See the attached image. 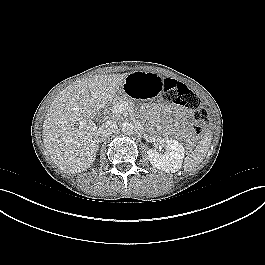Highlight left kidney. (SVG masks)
Segmentation results:
<instances>
[{
	"mask_svg": "<svg viewBox=\"0 0 265 265\" xmlns=\"http://www.w3.org/2000/svg\"><path fill=\"white\" fill-rule=\"evenodd\" d=\"M184 154L183 145L174 139L167 142L164 153H159L156 149L147 151L148 159L153 167L171 173L181 168Z\"/></svg>",
	"mask_w": 265,
	"mask_h": 265,
	"instance_id": "obj_1",
	"label": "left kidney"
}]
</instances>
